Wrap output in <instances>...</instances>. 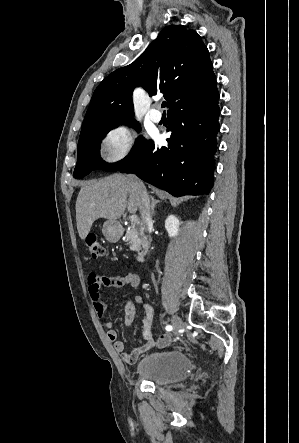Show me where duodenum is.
Returning <instances> with one entry per match:
<instances>
[{"mask_svg":"<svg viewBox=\"0 0 299 443\" xmlns=\"http://www.w3.org/2000/svg\"><path fill=\"white\" fill-rule=\"evenodd\" d=\"M137 258L139 261L143 260V258L148 254L149 252V242L147 238H142L138 247H137Z\"/></svg>","mask_w":299,"mask_h":443,"instance_id":"duodenum-1","label":"duodenum"}]
</instances>
